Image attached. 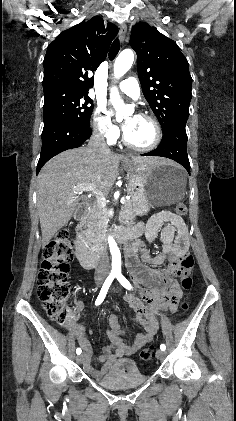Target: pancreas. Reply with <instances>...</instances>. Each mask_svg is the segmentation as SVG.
<instances>
[{
    "label": "pancreas",
    "mask_w": 236,
    "mask_h": 421,
    "mask_svg": "<svg viewBox=\"0 0 236 421\" xmlns=\"http://www.w3.org/2000/svg\"><path fill=\"white\" fill-rule=\"evenodd\" d=\"M107 208L101 206L100 202H96L91 206L90 211L85 215L79 227L80 235H84L86 241L91 243L93 251H97L106 239V231L108 227ZM135 213L132 208L131 200H125L121 206L119 215V223L132 227L135 225Z\"/></svg>",
    "instance_id": "obj_1"
}]
</instances>
